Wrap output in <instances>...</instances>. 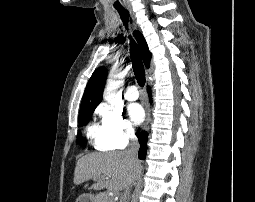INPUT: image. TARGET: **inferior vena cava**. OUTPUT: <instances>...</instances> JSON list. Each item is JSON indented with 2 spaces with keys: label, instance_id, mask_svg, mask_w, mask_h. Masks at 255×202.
I'll return each mask as SVG.
<instances>
[{
  "label": "inferior vena cava",
  "instance_id": "obj_1",
  "mask_svg": "<svg viewBox=\"0 0 255 202\" xmlns=\"http://www.w3.org/2000/svg\"><path fill=\"white\" fill-rule=\"evenodd\" d=\"M138 149H139V143L137 140V137L134 135V132L132 131L130 133V145L129 148L124 152L129 159L136 165L139 164V160H138ZM129 194H130V188L128 187L120 202H128V198H129Z\"/></svg>",
  "mask_w": 255,
  "mask_h": 202
}]
</instances>
